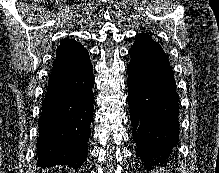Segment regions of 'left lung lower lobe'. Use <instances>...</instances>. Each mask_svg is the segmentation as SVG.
Listing matches in <instances>:
<instances>
[{
    "instance_id": "1",
    "label": "left lung lower lobe",
    "mask_w": 219,
    "mask_h": 173,
    "mask_svg": "<svg viewBox=\"0 0 219 173\" xmlns=\"http://www.w3.org/2000/svg\"><path fill=\"white\" fill-rule=\"evenodd\" d=\"M129 54L128 103L136 154L145 168L167 164L179 136V96L169 60L148 34H137Z\"/></svg>"
}]
</instances>
